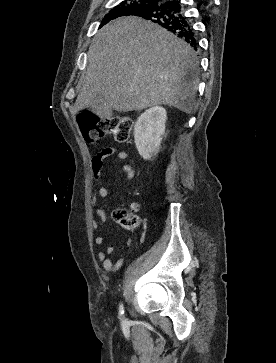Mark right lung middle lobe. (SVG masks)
I'll list each match as a JSON object with an SVG mask.
<instances>
[{"label":"right lung middle lobe","instance_id":"right-lung-middle-lobe-1","mask_svg":"<svg viewBox=\"0 0 276 363\" xmlns=\"http://www.w3.org/2000/svg\"><path fill=\"white\" fill-rule=\"evenodd\" d=\"M158 1L160 0H125L105 15L100 27L108 23L111 19H115L120 16L138 14L145 9L157 5Z\"/></svg>","mask_w":276,"mask_h":363}]
</instances>
